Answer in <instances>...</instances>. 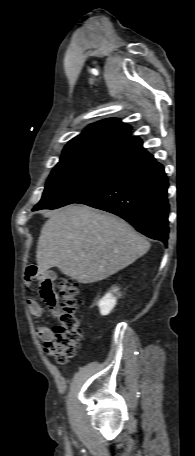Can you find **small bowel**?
<instances>
[{"label": "small bowel", "mask_w": 195, "mask_h": 456, "mask_svg": "<svg viewBox=\"0 0 195 456\" xmlns=\"http://www.w3.org/2000/svg\"><path fill=\"white\" fill-rule=\"evenodd\" d=\"M25 280L27 286L29 287L32 285V282L34 280H38L39 291L42 299L47 304V306L52 310V312L55 313L57 310L56 293L53 288L52 277L46 273H40L36 266L30 265L26 268ZM28 308L31 315L35 317H41L43 314V308L36 300H29ZM36 332L38 337L45 343L54 339V332L49 327H39L37 328Z\"/></svg>", "instance_id": "obj_1"}]
</instances>
